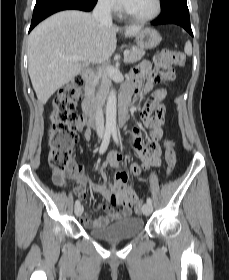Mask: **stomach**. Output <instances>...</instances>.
Instances as JSON below:
<instances>
[{
    "instance_id": "1",
    "label": "stomach",
    "mask_w": 229,
    "mask_h": 280,
    "mask_svg": "<svg viewBox=\"0 0 229 280\" xmlns=\"http://www.w3.org/2000/svg\"><path fill=\"white\" fill-rule=\"evenodd\" d=\"M135 40L141 49H152L159 45L162 38L155 29L144 28L135 35Z\"/></svg>"
}]
</instances>
